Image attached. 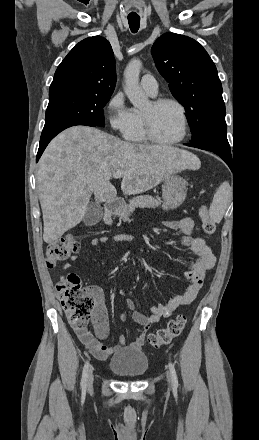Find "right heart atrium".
Listing matches in <instances>:
<instances>
[{
  "mask_svg": "<svg viewBox=\"0 0 259 440\" xmlns=\"http://www.w3.org/2000/svg\"><path fill=\"white\" fill-rule=\"evenodd\" d=\"M106 117L110 128L120 135L125 136L132 125L133 114L125 101L122 92L115 93L106 104Z\"/></svg>",
  "mask_w": 259,
  "mask_h": 440,
  "instance_id": "d8ad5b80",
  "label": "right heart atrium"
}]
</instances>
